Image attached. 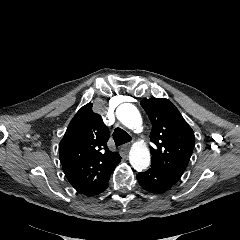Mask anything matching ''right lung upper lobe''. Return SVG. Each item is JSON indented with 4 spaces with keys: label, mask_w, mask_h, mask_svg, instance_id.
Masks as SVG:
<instances>
[{
    "label": "right lung upper lobe",
    "mask_w": 240,
    "mask_h": 240,
    "mask_svg": "<svg viewBox=\"0 0 240 240\" xmlns=\"http://www.w3.org/2000/svg\"><path fill=\"white\" fill-rule=\"evenodd\" d=\"M92 104L83 106L71 120L59 144L60 161L71 185L92 196L109 179L121 160L107 146L109 131Z\"/></svg>",
    "instance_id": "cb5924a9"
}]
</instances>
